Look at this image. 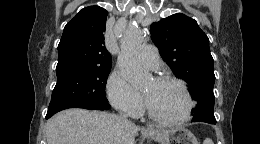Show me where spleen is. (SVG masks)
I'll use <instances>...</instances> for the list:
<instances>
[{"label": "spleen", "instance_id": "1", "mask_svg": "<svg viewBox=\"0 0 260 144\" xmlns=\"http://www.w3.org/2000/svg\"><path fill=\"white\" fill-rule=\"evenodd\" d=\"M203 144H213V141L210 138L204 140Z\"/></svg>", "mask_w": 260, "mask_h": 144}]
</instances>
